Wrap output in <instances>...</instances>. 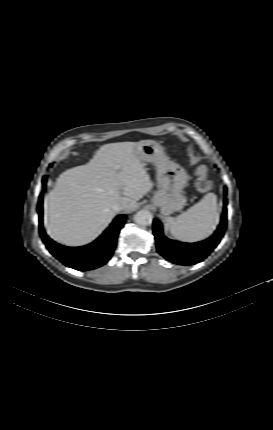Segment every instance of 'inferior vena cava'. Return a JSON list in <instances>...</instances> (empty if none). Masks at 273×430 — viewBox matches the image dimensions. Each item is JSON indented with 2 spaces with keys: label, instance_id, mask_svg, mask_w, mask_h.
<instances>
[{
  "label": "inferior vena cava",
  "instance_id": "1",
  "mask_svg": "<svg viewBox=\"0 0 273 430\" xmlns=\"http://www.w3.org/2000/svg\"><path fill=\"white\" fill-rule=\"evenodd\" d=\"M125 207H126L125 202L120 201V202L115 203L112 208L115 212H119V211L124 210Z\"/></svg>",
  "mask_w": 273,
  "mask_h": 430
}]
</instances>
